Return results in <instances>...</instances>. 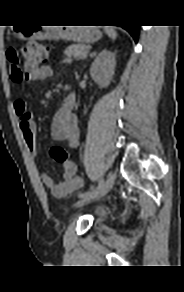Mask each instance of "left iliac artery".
<instances>
[{
  "label": "left iliac artery",
  "instance_id": "1",
  "mask_svg": "<svg viewBox=\"0 0 184 292\" xmlns=\"http://www.w3.org/2000/svg\"><path fill=\"white\" fill-rule=\"evenodd\" d=\"M103 183H104L103 182V179H101L100 182H99V184H98V186L96 188H93L91 190H88V191H86L84 193H80L78 196L80 198H85V197L89 196L91 193H93L94 191H96L97 189H99L102 186Z\"/></svg>",
  "mask_w": 184,
  "mask_h": 292
}]
</instances>
